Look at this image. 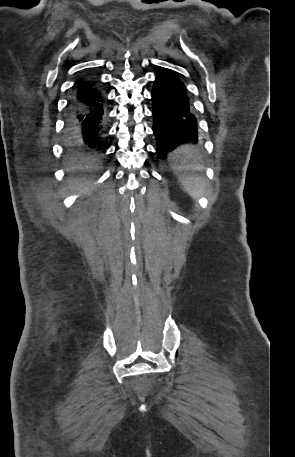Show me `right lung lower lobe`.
I'll return each mask as SVG.
<instances>
[{"instance_id": "obj_1", "label": "right lung lower lobe", "mask_w": 295, "mask_h": 457, "mask_svg": "<svg viewBox=\"0 0 295 457\" xmlns=\"http://www.w3.org/2000/svg\"><path fill=\"white\" fill-rule=\"evenodd\" d=\"M104 105L103 93L94 78L85 76L76 82L69 102V119L82 132V146L93 153L105 149Z\"/></svg>"}]
</instances>
